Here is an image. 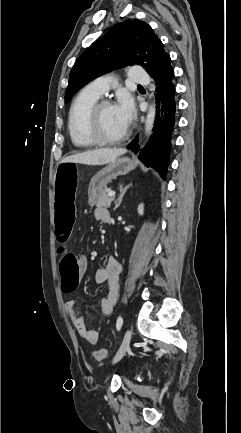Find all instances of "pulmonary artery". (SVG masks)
<instances>
[{
    "instance_id": "obj_1",
    "label": "pulmonary artery",
    "mask_w": 241,
    "mask_h": 433,
    "mask_svg": "<svg viewBox=\"0 0 241 433\" xmlns=\"http://www.w3.org/2000/svg\"><path fill=\"white\" fill-rule=\"evenodd\" d=\"M128 80L131 83L136 84H147L149 82L148 75L142 67L133 66L130 67L128 72ZM114 82L111 77L102 76L91 81L86 88L97 96L103 95L110 88V85Z\"/></svg>"
}]
</instances>
